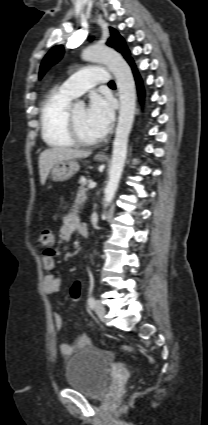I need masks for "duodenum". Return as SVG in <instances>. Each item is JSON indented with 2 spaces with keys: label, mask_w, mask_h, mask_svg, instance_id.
Returning <instances> with one entry per match:
<instances>
[{
  "label": "duodenum",
  "mask_w": 208,
  "mask_h": 425,
  "mask_svg": "<svg viewBox=\"0 0 208 425\" xmlns=\"http://www.w3.org/2000/svg\"><path fill=\"white\" fill-rule=\"evenodd\" d=\"M79 232H80V234H81L83 237H87V236H88V228H87V226H85V225H81V226H80V229H79Z\"/></svg>",
  "instance_id": "obj_1"
}]
</instances>
